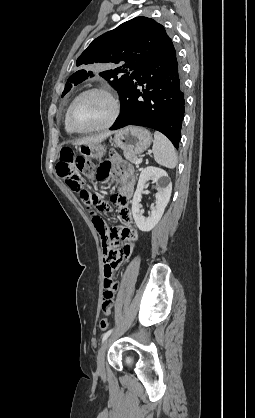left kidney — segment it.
Returning a JSON list of instances; mask_svg holds the SVG:
<instances>
[{
  "mask_svg": "<svg viewBox=\"0 0 255 418\" xmlns=\"http://www.w3.org/2000/svg\"><path fill=\"white\" fill-rule=\"evenodd\" d=\"M149 180L157 184L156 205L152 208L149 216L144 217L140 210V201L145 184ZM171 192L172 183L166 171L153 166L142 170L132 199L133 218L141 231L148 232L158 224L170 200Z\"/></svg>",
  "mask_w": 255,
  "mask_h": 418,
  "instance_id": "obj_1",
  "label": "left kidney"
}]
</instances>
